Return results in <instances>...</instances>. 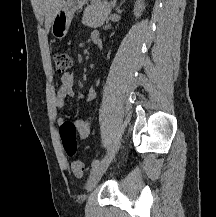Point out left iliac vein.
Segmentation results:
<instances>
[{"label":"left iliac vein","instance_id":"1","mask_svg":"<svg viewBox=\"0 0 216 217\" xmlns=\"http://www.w3.org/2000/svg\"><path fill=\"white\" fill-rule=\"evenodd\" d=\"M109 162H110V158H107L103 160V162L99 164L97 167L92 169L86 185V189L88 191H92L95 188V186L101 179L102 175L105 173L109 165Z\"/></svg>","mask_w":216,"mask_h":217}]
</instances>
